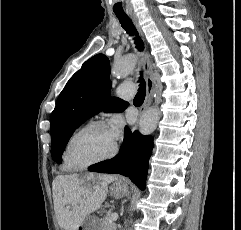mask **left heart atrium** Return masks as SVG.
Here are the masks:
<instances>
[{
	"instance_id": "obj_1",
	"label": "left heart atrium",
	"mask_w": 241,
	"mask_h": 230,
	"mask_svg": "<svg viewBox=\"0 0 241 230\" xmlns=\"http://www.w3.org/2000/svg\"><path fill=\"white\" fill-rule=\"evenodd\" d=\"M107 128L111 137L116 142L122 136V132H123L122 118L118 115L112 117Z\"/></svg>"
}]
</instances>
